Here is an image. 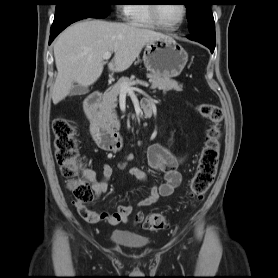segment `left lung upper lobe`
<instances>
[{
  "mask_svg": "<svg viewBox=\"0 0 278 278\" xmlns=\"http://www.w3.org/2000/svg\"><path fill=\"white\" fill-rule=\"evenodd\" d=\"M213 0H186V13L191 35L215 43V24L211 5Z\"/></svg>",
  "mask_w": 278,
  "mask_h": 278,
  "instance_id": "5c2ea615",
  "label": "left lung upper lobe"
}]
</instances>
